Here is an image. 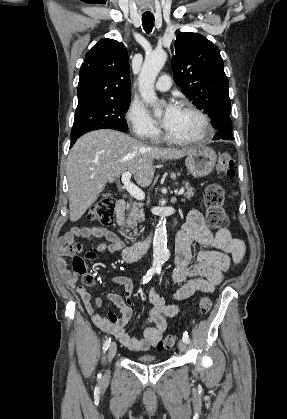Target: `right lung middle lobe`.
Instances as JSON below:
<instances>
[{"label": "right lung middle lobe", "instance_id": "dd1d6c3e", "mask_svg": "<svg viewBox=\"0 0 287 419\" xmlns=\"http://www.w3.org/2000/svg\"><path fill=\"white\" fill-rule=\"evenodd\" d=\"M130 105V98L95 103L76 109L71 131V143L81 135L97 129L128 130L125 113Z\"/></svg>", "mask_w": 287, "mask_h": 419}]
</instances>
